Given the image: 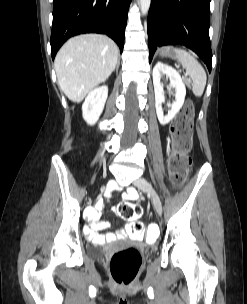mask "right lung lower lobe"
<instances>
[{"label":"right lung lower lobe","mask_w":247,"mask_h":304,"mask_svg":"<svg viewBox=\"0 0 247 304\" xmlns=\"http://www.w3.org/2000/svg\"><path fill=\"white\" fill-rule=\"evenodd\" d=\"M131 0H53L51 33L52 59L70 37L82 33H101L124 47V30Z\"/></svg>","instance_id":"1"}]
</instances>
